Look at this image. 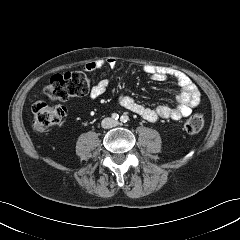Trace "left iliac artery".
I'll use <instances>...</instances> for the list:
<instances>
[{
  "label": "left iliac artery",
  "instance_id": "1",
  "mask_svg": "<svg viewBox=\"0 0 240 240\" xmlns=\"http://www.w3.org/2000/svg\"><path fill=\"white\" fill-rule=\"evenodd\" d=\"M120 120H121V122L126 123V122L129 121V117L124 114V115L121 116Z\"/></svg>",
  "mask_w": 240,
  "mask_h": 240
}]
</instances>
